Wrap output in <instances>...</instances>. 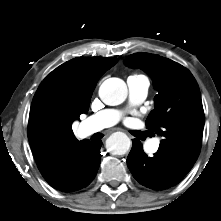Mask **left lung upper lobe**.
Returning <instances> with one entry per match:
<instances>
[{
    "mask_svg": "<svg viewBox=\"0 0 221 221\" xmlns=\"http://www.w3.org/2000/svg\"><path fill=\"white\" fill-rule=\"evenodd\" d=\"M125 62L152 77L158 94L146 125L162 137L157 152L185 176L199 156L205 120L195 78L182 65L155 54L135 53Z\"/></svg>",
    "mask_w": 221,
    "mask_h": 221,
    "instance_id": "obj_1",
    "label": "left lung upper lobe"
}]
</instances>
